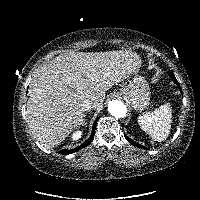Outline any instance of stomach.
Wrapping results in <instances>:
<instances>
[{"mask_svg": "<svg viewBox=\"0 0 200 200\" xmlns=\"http://www.w3.org/2000/svg\"><path fill=\"white\" fill-rule=\"evenodd\" d=\"M136 111H142L149 105L150 88L142 76H135L122 86L119 92Z\"/></svg>", "mask_w": 200, "mask_h": 200, "instance_id": "0dacf381", "label": "stomach"}]
</instances>
